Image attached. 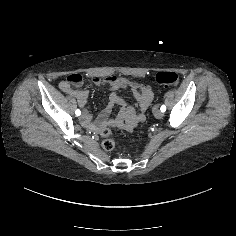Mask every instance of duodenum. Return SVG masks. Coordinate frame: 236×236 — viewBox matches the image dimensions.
Wrapping results in <instances>:
<instances>
[{"mask_svg":"<svg viewBox=\"0 0 236 236\" xmlns=\"http://www.w3.org/2000/svg\"><path fill=\"white\" fill-rule=\"evenodd\" d=\"M106 83H108L109 85H111L112 89H114V90H117L118 88H120V87H122V86H125V85H130V86H131L132 88H134V89L137 88V85H135V84H129L128 82H126V81H124V80H115V79L109 78V79L106 80ZM71 95L74 96L75 98H77V100H78L79 103H82V102H84V100H85V98H84L83 96H81V95H79V94H77V93H72ZM110 99H111V101H112L113 103H117V104H119V105H123V104H124L123 100L120 99V98H119L117 95H115V94H112V96H111ZM138 101H139V104H140V108H142V107L147 103V96H146V94H145L144 92H143V94H141V95L138 96ZM134 119H137V117L132 118V121H133ZM110 123H111L112 125H122V126H124V127L130 126V123L127 124V125H124V124H122L121 122H116V121H111Z\"/></svg>","mask_w":236,"mask_h":236,"instance_id":"obj_1","label":"duodenum"}]
</instances>
